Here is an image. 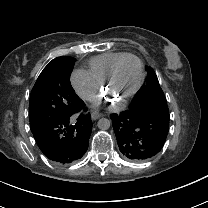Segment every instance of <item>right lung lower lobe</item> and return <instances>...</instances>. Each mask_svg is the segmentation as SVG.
Segmentation results:
<instances>
[{"mask_svg": "<svg viewBox=\"0 0 208 208\" xmlns=\"http://www.w3.org/2000/svg\"><path fill=\"white\" fill-rule=\"evenodd\" d=\"M48 118L36 123H30L32 134L42 153L57 164L76 162L85 154L89 145L92 122L89 113L80 114L73 123L75 114Z\"/></svg>", "mask_w": 208, "mask_h": 208, "instance_id": "obj_1", "label": "right lung lower lobe"}]
</instances>
